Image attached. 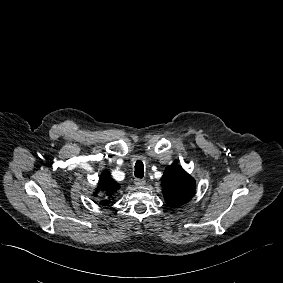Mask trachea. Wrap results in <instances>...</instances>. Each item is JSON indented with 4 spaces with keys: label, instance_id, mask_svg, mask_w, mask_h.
<instances>
[{
    "label": "trachea",
    "instance_id": "3493384b",
    "mask_svg": "<svg viewBox=\"0 0 283 283\" xmlns=\"http://www.w3.org/2000/svg\"><path fill=\"white\" fill-rule=\"evenodd\" d=\"M134 175L137 178H143V176H144V165H143V162H141L139 160L136 161Z\"/></svg>",
    "mask_w": 283,
    "mask_h": 283
}]
</instances>
